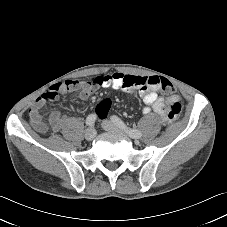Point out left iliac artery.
<instances>
[{
  "label": "left iliac artery",
  "instance_id": "1",
  "mask_svg": "<svg viewBox=\"0 0 227 227\" xmlns=\"http://www.w3.org/2000/svg\"><path fill=\"white\" fill-rule=\"evenodd\" d=\"M111 120L120 128L124 129L132 138H140L142 136V133L139 130L128 128L117 116H112Z\"/></svg>",
  "mask_w": 227,
  "mask_h": 227
}]
</instances>
